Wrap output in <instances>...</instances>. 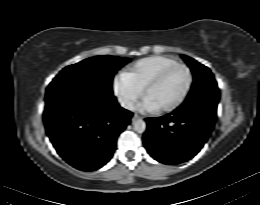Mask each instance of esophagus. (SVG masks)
Segmentation results:
<instances>
[{
  "label": "esophagus",
  "instance_id": "obj_1",
  "mask_svg": "<svg viewBox=\"0 0 260 205\" xmlns=\"http://www.w3.org/2000/svg\"><path fill=\"white\" fill-rule=\"evenodd\" d=\"M142 119V116L139 114L135 113L132 117V122H135L136 120Z\"/></svg>",
  "mask_w": 260,
  "mask_h": 205
}]
</instances>
